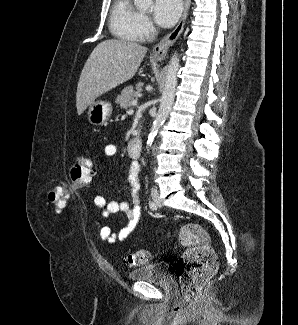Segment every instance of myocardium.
Masks as SVG:
<instances>
[{
  "instance_id": "obj_1",
  "label": "myocardium",
  "mask_w": 298,
  "mask_h": 325,
  "mask_svg": "<svg viewBox=\"0 0 298 325\" xmlns=\"http://www.w3.org/2000/svg\"><path fill=\"white\" fill-rule=\"evenodd\" d=\"M138 8H139L140 10H142V11L145 10L144 8L141 7L140 4H138Z\"/></svg>"
}]
</instances>
